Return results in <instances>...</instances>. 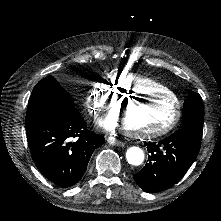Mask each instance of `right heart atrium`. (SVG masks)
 Segmentation results:
<instances>
[{"instance_id": "d8ad5b80", "label": "right heart atrium", "mask_w": 221, "mask_h": 221, "mask_svg": "<svg viewBox=\"0 0 221 221\" xmlns=\"http://www.w3.org/2000/svg\"><path fill=\"white\" fill-rule=\"evenodd\" d=\"M112 76H104L95 83L87 94V104L92 111L105 112L111 109V106L118 100L117 90L112 81Z\"/></svg>"}]
</instances>
